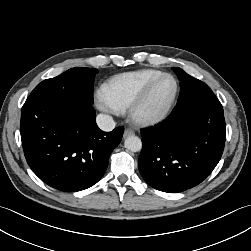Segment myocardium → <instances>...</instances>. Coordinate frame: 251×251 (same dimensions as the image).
Instances as JSON below:
<instances>
[{
    "mask_svg": "<svg viewBox=\"0 0 251 251\" xmlns=\"http://www.w3.org/2000/svg\"><path fill=\"white\" fill-rule=\"evenodd\" d=\"M171 78L175 84L174 92L168 103L155 114H144L142 109L148 100L154 87L163 79ZM179 94L178 80L172 74L163 73L162 75L151 80L140 92L137 98L129 107V116L131 121L141 127H151L163 122L170 114Z\"/></svg>",
    "mask_w": 251,
    "mask_h": 251,
    "instance_id": "myocardium-1",
    "label": "myocardium"
}]
</instances>
